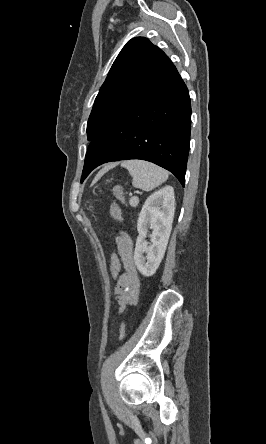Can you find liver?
<instances>
[{
	"mask_svg": "<svg viewBox=\"0 0 266 444\" xmlns=\"http://www.w3.org/2000/svg\"><path fill=\"white\" fill-rule=\"evenodd\" d=\"M116 164H110L108 166H106L104 169H102V171L100 172V175L103 174L104 172H106L107 170H109L110 168H113Z\"/></svg>",
	"mask_w": 266,
	"mask_h": 444,
	"instance_id": "liver-1",
	"label": "liver"
}]
</instances>
